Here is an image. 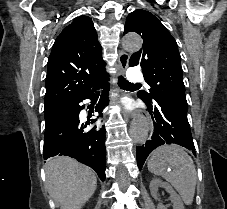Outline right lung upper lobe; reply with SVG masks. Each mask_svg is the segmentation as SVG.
<instances>
[{"mask_svg": "<svg viewBox=\"0 0 227 209\" xmlns=\"http://www.w3.org/2000/svg\"><path fill=\"white\" fill-rule=\"evenodd\" d=\"M92 20L79 16L55 40L48 59L45 108L66 104L107 76Z\"/></svg>", "mask_w": 227, "mask_h": 209, "instance_id": "obj_1", "label": "right lung upper lobe"}]
</instances>
